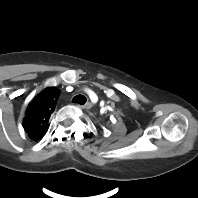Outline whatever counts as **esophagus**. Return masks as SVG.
I'll use <instances>...</instances> for the list:
<instances>
[{"mask_svg":"<svg viewBox=\"0 0 198 198\" xmlns=\"http://www.w3.org/2000/svg\"><path fill=\"white\" fill-rule=\"evenodd\" d=\"M77 106H79L82 109H90L92 107V103L87 102L84 105H77Z\"/></svg>","mask_w":198,"mask_h":198,"instance_id":"obj_1","label":"esophagus"}]
</instances>
